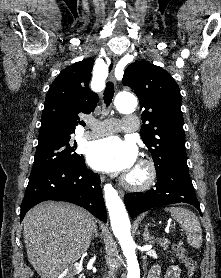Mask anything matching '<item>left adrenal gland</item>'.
<instances>
[{
	"label": "left adrenal gland",
	"instance_id": "left-adrenal-gland-1",
	"mask_svg": "<svg viewBox=\"0 0 221 278\" xmlns=\"http://www.w3.org/2000/svg\"><path fill=\"white\" fill-rule=\"evenodd\" d=\"M143 237L145 241H149L150 243H153V237L150 236L149 232H148V227L147 225L144 228V232H143Z\"/></svg>",
	"mask_w": 221,
	"mask_h": 278
}]
</instances>
